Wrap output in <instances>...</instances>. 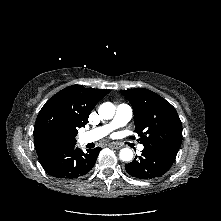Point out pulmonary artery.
Wrapping results in <instances>:
<instances>
[{
    "instance_id": "1",
    "label": "pulmonary artery",
    "mask_w": 221,
    "mask_h": 221,
    "mask_svg": "<svg viewBox=\"0 0 221 221\" xmlns=\"http://www.w3.org/2000/svg\"><path fill=\"white\" fill-rule=\"evenodd\" d=\"M133 116V110L128 104H119L116 108L115 116L106 125L84 132L79 136L82 143L95 142L105 137L112 130L126 125ZM143 145H138V150H143Z\"/></svg>"
}]
</instances>
